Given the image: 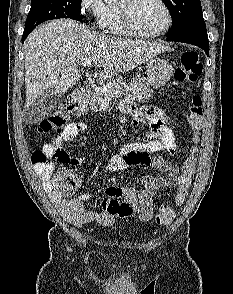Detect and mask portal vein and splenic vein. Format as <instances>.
Wrapping results in <instances>:
<instances>
[{
	"mask_svg": "<svg viewBox=\"0 0 233 294\" xmlns=\"http://www.w3.org/2000/svg\"><path fill=\"white\" fill-rule=\"evenodd\" d=\"M92 59H90V58H86V59H84L83 61H82V65L84 66V67H90L91 65H92ZM112 94H118V93H120V91L119 90H113L112 92H111Z\"/></svg>",
	"mask_w": 233,
	"mask_h": 294,
	"instance_id": "18ae733b",
	"label": "portal vein and splenic vein"
}]
</instances>
